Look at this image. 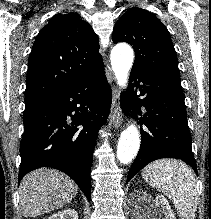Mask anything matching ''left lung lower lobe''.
<instances>
[{"instance_id": "1", "label": "left lung lower lobe", "mask_w": 211, "mask_h": 219, "mask_svg": "<svg viewBox=\"0 0 211 219\" xmlns=\"http://www.w3.org/2000/svg\"><path fill=\"white\" fill-rule=\"evenodd\" d=\"M129 81L121 106L139 115L145 108L146 113L135 116L142 125V143L127 182L148 163L161 158L181 159L197 174L180 75L132 68Z\"/></svg>"}]
</instances>
